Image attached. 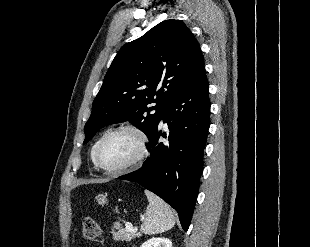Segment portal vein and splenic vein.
Wrapping results in <instances>:
<instances>
[{
    "mask_svg": "<svg viewBox=\"0 0 310 247\" xmlns=\"http://www.w3.org/2000/svg\"><path fill=\"white\" fill-rule=\"evenodd\" d=\"M125 229L128 231H135L133 228V225L131 223H126L125 224Z\"/></svg>",
    "mask_w": 310,
    "mask_h": 247,
    "instance_id": "portal-vein-and-splenic-vein-1",
    "label": "portal vein and splenic vein"
}]
</instances>
